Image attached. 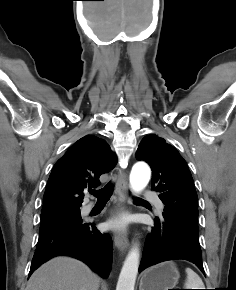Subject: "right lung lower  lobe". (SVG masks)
<instances>
[{"instance_id":"obj_1","label":"right lung lower lobe","mask_w":236,"mask_h":290,"mask_svg":"<svg viewBox=\"0 0 236 290\" xmlns=\"http://www.w3.org/2000/svg\"><path fill=\"white\" fill-rule=\"evenodd\" d=\"M112 239L93 223H80L39 234L29 276L44 262L57 255H69L89 265L107 278L112 265Z\"/></svg>"}]
</instances>
